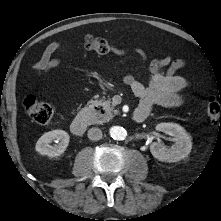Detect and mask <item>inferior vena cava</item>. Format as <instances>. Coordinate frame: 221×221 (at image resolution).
Here are the masks:
<instances>
[{"label": "inferior vena cava", "instance_id": "1", "mask_svg": "<svg viewBox=\"0 0 221 221\" xmlns=\"http://www.w3.org/2000/svg\"><path fill=\"white\" fill-rule=\"evenodd\" d=\"M88 138L92 141H97L102 138V131L97 128L93 127L88 130Z\"/></svg>", "mask_w": 221, "mask_h": 221}]
</instances>
